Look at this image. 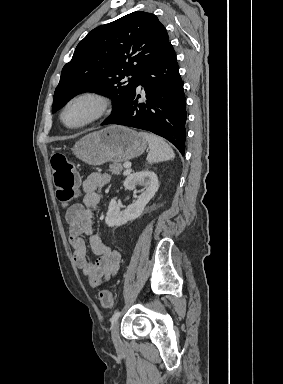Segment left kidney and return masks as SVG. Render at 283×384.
Returning <instances> with one entry per match:
<instances>
[{"label": "left kidney", "mask_w": 283, "mask_h": 384, "mask_svg": "<svg viewBox=\"0 0 283 384\" xmlns=\"http://www.w3.org/2000/svg\"><path fill=\"white\" fill-rule=\"evenodd\" d=\"M136 186H144L145 190H140L142 194L138 196V200L134 204H130L126 210H120V206L116 202L117 198L111 200L105 218L109 228L123 226L126 222H131V220H136L141 216L146 204L152 200L159 188L157 174L150 172V170L129 174L124 182L125 190H136Z\"/></svg>", "instance_id": "obj_1"}]
</instances>
